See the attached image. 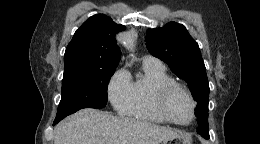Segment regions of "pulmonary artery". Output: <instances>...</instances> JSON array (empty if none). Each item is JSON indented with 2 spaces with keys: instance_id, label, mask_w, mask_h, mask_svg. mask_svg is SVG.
I'll return each instance as SVG.
<instances>
[{
  "instance_id": "1",
  "label": "pulmonary artery",
  "mask_w": 260,
  "mask_h": 144,
  "mask_svg": "<svg viewBox=\"0 0 260 144\" xmlns=\"http://www.w3.org/2000/svg\"><path fill=\"white\" fill-rule=\"evenodd\" d=\"M143 62L153 65V66H157V67H163L161 61L153 56L150 55H146L143 57Z\"/></svg>"
}]
</instances>
